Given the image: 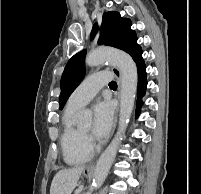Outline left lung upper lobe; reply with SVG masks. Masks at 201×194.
I'll list each match as a JSON object with an SVG mask.
<instances>
[{
	"label": "left lung upper lobe",
	"instance_id": "obj_1",
	"mask_svg": "<svg viewBox=\"0 0 201 194\" xmlns=\"http://www.w3.org/2000/svg\"><path fill=\"white\" fill-rule=\"evenodd\" d=\"M97 31L98 25L96 23L91 32L92 39ZM98 44L113 46L130 54L137 45L136 33L131 30V21L127 18H121L118 12H105L100 27ZM85 56L86 50L77 53L68 61L64 69L61 77L59 109H63L68 97L80 84L85 75Z\"/></svg>",
	"mask_w": 201,
	"mask_h": 194
}]
</instances>
